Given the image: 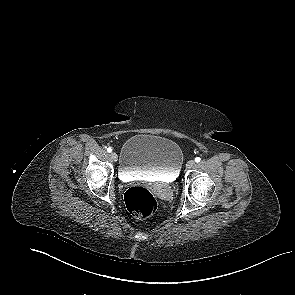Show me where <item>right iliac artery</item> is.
I'll use <instances>...</instances> for the list:
<instances>
[{
    "instance_id": "obj_1",
    "label": "right iliac artery",
    "mask_w": 295,
    "mask_h": 295,
    "mask_svg": "<svg viewBox=\"0 0 295 295\" xmlns=\"http://www.w3.org/2000/svg\"><path fill=\"white\" fill-rule=\"evenodd\" d=\"M107 152H109V153L112 152V148L111 147H108L107 148Z\"/></svg>"
}]
</instances>
